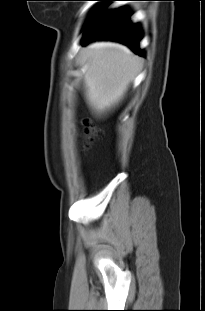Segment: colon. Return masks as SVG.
Instances as JSON below:
<instances>
[{"instance_id": "obj_1", "label": "colon", "mask_w": 205, "mask_h": 311, "mask_svg": "<svg viewBox=\"0 0 205 311\" xmlns=\"http://www.w3.org/2000/svg\"><path fill=\"white\" fill-rule=\"evenodd\" d=\"M86 133L89 136L90 140H92L93 136L95 135V130L92 126L88 125L86 129Z\"/></svg>"}]
</instances>
